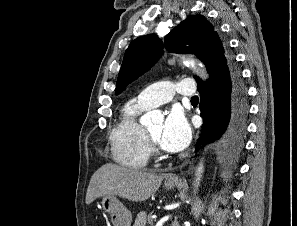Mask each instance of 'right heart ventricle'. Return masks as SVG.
Returning a JSON list of instances; mask_svg holds the SVG:
<instances>
[{
  "label": "right heart ventricle",
  "instance_id": "obj_1",
  "mask_svg": "<svg viewBox=\"0 0 297 226\" xmlns=\"http://www.w3.org/2000/svg\"><path fill=\"white\" fill-rule=\"evenodd\" d=\"M147 109L139 99L128 101L122 108L110 134L112 157L118 164L138 169L146 166L150 146L139 117Z\"/></svg>",
  "mask_w": 297,
  "mask_h": 226
}]
</instances>
